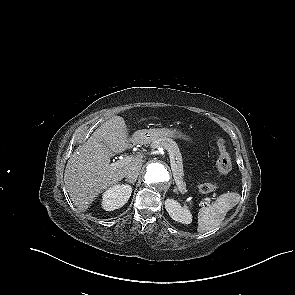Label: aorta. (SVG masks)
<instances>
[{"label":"aorta","instance_id":"obj_1","mask_svg":"<svg viewBox=\"0 0 295 295\" xmlns=\"http://www.w3.org/2000/svg\"><path fill=\"white\" fill-rule=\"evenodd\" d=\"M144 180L149 187L166 185L170 181V173L165 165L159 162H152L146 167Z\"/></svg>","mask_w":295,"mask_h":295}]
</instances>
